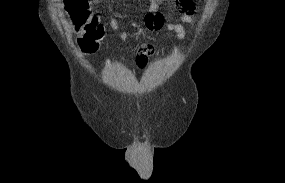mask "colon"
I'll return each instance as SVG.
<instances>
[{
	"mask_svg": "<svg viewBox=\"0 0 285 183\" xmlns=\"http://www.w3.org/2000/svg\"><path fill=\"white\" fill-rule=\"evenodd\" d=\"M180 1V0H178ZM74 31L79 34L78 44L85 53L95 52L104 37V27L90 11L89 0H65ZM187 12L193 11L191 8ZM140 68L145 64L138 65Z\"/></svg>",
	"mask_w": 285,
	"mask_h": 183,
	"instance_id": "colon-1",
	"label": "colon"
}]
</instances>
